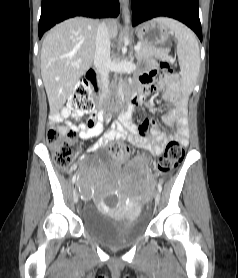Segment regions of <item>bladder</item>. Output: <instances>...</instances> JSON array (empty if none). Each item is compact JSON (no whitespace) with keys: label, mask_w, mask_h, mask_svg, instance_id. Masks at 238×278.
Segmentation results:
<instances>
[{"label":"bladder","mask_w":238,"mask_h":278,"mask_svg":"<svg viewBox=\"0 0 238 278\" xmlns=\"http://www.w3.org/2000/svg\"><path fill=\"white\" fill-rule=\"evenodd\" d=\"M149 221L147 211L136 217H113L88 203L82 210V223L86 233L99 243L115 247L133 242L146 231Z\"/></svg>","instance_id":"obj_1"}]
</instances>
